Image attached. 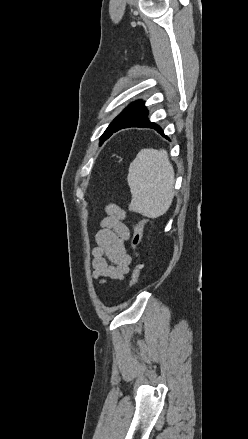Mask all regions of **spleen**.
I'll use <instances>...</instances> for the list:
<instances>
[{"label": "spleen", "mask_w": 248, "mask_h": 439, "mask_svg": "<svg viewBox=\"0 0 248 439\" xmlns=\"http://www.w3.org/2000/svg\"><path fill=\"white\" fill-rule=\"evenodd\" d=\"M174 169L164 149H142L129 166L130 210L149 218L164 215L174 197Z\"/></svg>", "instance_id": "obj_1"}]
</instances>
